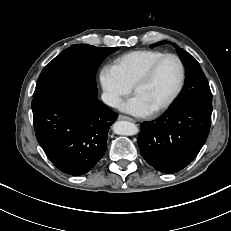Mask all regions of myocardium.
<instances>
[{"instance_id":"obj_1","label":"myocardium","mask_w":231,"mask_h":231,"mask_svg":"<svg viewBox=\"0 0 231 231\" xmlns=\"http://www.w3.org/2000/svg\"><path fill=\"white\" fill-rule=\"evenodd\" d=\"M166 58H173L177 61L179 68H180V79L179 83L175 89V91L172 93V95L160 106L152 110V114H159L165 110H167L174 102L175 100L179 97L181 94L185 81H186V68L183 60L174 53H164L163 55L159 56L156 58L143 72L142 74L137 78V80L134 82L132 89L133 92L136 91L138 87L141 85L145 84L150 80V78L153 76L157 66L160 64V62Z\"/></svg>"}]
</instances>
